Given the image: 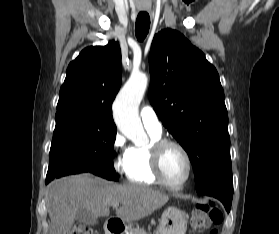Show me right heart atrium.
<instances>
[{"label":"right heart atrium","mask_w":279,"mask_h":234,"mask_svg":"<svg viewBox=\"0 0 279 234\" xmlns=\"http://www.w3.org/2000/svg\"><path fill=\"white\" fill-rule=\"evenodd\" d=\"M112 149L114 151V153L117 155L116 157V161H115V169L117 171H121L122 170V166H123V161L124 158L128 152V148L126 146V141L124 136L120 133L117 132L114 135L113 141H112Z\"/></svg>","instance_id":"obj_1"}]
</instances>
